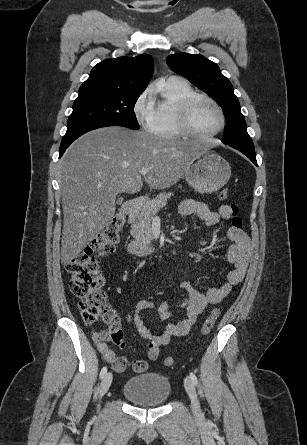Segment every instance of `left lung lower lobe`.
<instances>
[{"instance_id": "obj_1", "label": "left lung lower lobe", "mask_w": 307, "mask_h": 445, "mask_svg": "<svg viewBox=\"0 0 307 445\" xmlns=\"http://www.w3.org/2000/svg\"><path fill=\"white\" fill-rule=\"evenodd\" d=\"M231 147L239 150L240 152H242L244 155H246L256 166L257 165V161H256V154L254 151V146L250 147V146H243V145H234V144H228Z\"/></svg>"}]
</instances>
